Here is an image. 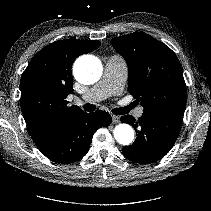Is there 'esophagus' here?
Here are the masks:
<instances>
[{"instance_id": "esophagus-1", "label": "esophagus", "mask_w": 211, "mask_h": 211, "mask_svg": "<svg viewBox=\"0 0 211 211\" xmlns=\"http://www.w3.org/2000/svg\"><path fill=\"white\" fill-rule=\"evenodd\" d=\"M119 122H120L119 116L113 115V116H112V123H113V124H117V123H119Z\"/></svg>"}]
</instances>
